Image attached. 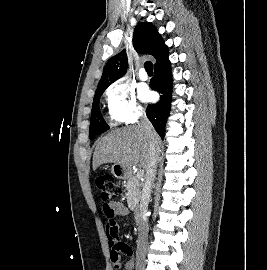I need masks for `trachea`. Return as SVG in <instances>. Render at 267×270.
Segmentation results:
<instances>
[{
  "instance_id": "trachea-1",
  "label": "trachea",
  "mask_w": 267,
  "mask_h": 270,
  "mask_svg": "<svg viewBox=\"0 0 267 270\" xmlns=\"http://www.w3.org/2000/svg\"><path fill=\"white\" fill-rule=\"evenodd\" d=\"M144 68L147 71V73H153V65L151 61H146L144 64Z\"/></svg>"
}]
</instances>
